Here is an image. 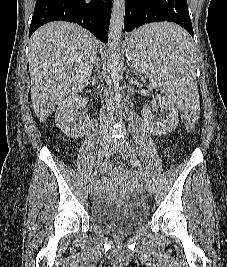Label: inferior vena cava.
Returning a JSON list of instances; mask_svg holds the SVG:
<instances>
[{
  "instance_id": "inferior-vena-cava-1",
  "label": "inferior vena cava",
  "mask_w": 227,
  "mask_h": 267,
  "mask_svg": "<svg viewBox=\"0 0 227 267\" xmlns=\"http://www.w3.org/2000/svg\"><path fill=\"white\" fill-rule=\"evenodd\" d=\"M99 59L96 60L94 67L99 71ZM95 69V70H96ZM100 122H101V126H100V132L101 134H107L108 131V117H106L104 114L100 116Z\"/></svg>"
}]
</instances>
